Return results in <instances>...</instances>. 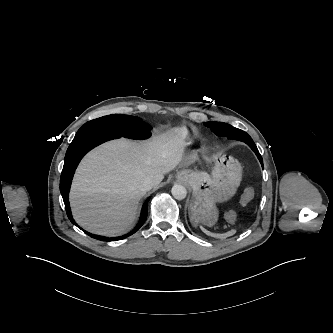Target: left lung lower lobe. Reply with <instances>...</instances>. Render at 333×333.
<instances>
[{
  "label": "left lung lower lobe",
  "instance_id": "0a47b994",
  "mask_svg": "<svg viewBox=\"0 0 333 333\" xmlns=\"http://www.w3.org/2000/svg\"><path fill=\"white\" fill-rule=\"evenodd\" d=\"M245 141H246V144H248L249 147L255 152V154L257 155V157L259 159V161L262 164V157H261V155H260V153H259V151H258V149H257V147L255 145V143L253 142V140L252 139H246ZM262 166H263V164H262Z\"/></svg>",
  "mask_w": 333,
  "mask_h": 333
}]
</instances>
